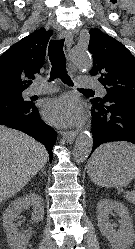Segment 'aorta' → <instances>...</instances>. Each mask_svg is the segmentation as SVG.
I'll list each match as a JSON object with an SVG mask.
<instances>
[{
  "label": "aorta",
  "mask_w": 135,
  "mask_h": 249,
  "mask_svg": "<svg viewBox=\"0 0 135 249\" xmlns=\"http://www.w3.org/2000/svg\"><path fill=\"white\" fill-rule=\"evenodd\" d=\"M71 62L79 69H89L91 67V57L86 48L74 47L70 51ZM93 146V136L85 131L79 134L75 141L73 157L77 163L84 162L91 153Z\"/></svg>",
  "instance_id": "obj_1"
}]
</instances>
